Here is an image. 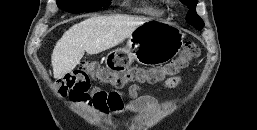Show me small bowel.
<instances>
[{
  "label": "small bowel",
  "instance_id": "small-bowel-1",
  "mask_svg": "<svg viewBox=\"0 0 257 130\" xmlns=\"http://www.w3.org/2000/svg\"><path fill=\"white\" fill-rule=\"evenodd\" d=\"M182 81V76H172L165 80V88H175ZM140 87L133 85L129 88L128 96L130 98L127 106L124 105V95L116 91H105L100 88H94L85 99L74 100L71 99L70 103H79L88 108L95 109L102 115H118L121 114L126 108L129 112H141L147 108L152 107L156 101L151 96L139 95Z\"/></svg>",
  "mask_w": 257,
  "mask_h": 130
}]
</instances>
